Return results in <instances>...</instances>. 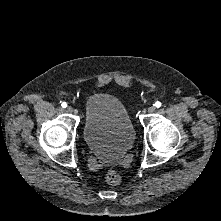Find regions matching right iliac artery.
<instances>
[{
    "label": "right iliac artery",
    "instance_id": "obj_1",
    "mask_svg": "<svg viewBox=\"0 0 221 221\" xmlns=\"http://www.w3.org/2000/svg\"><path fill=\"white\" fill-rule=\"evenodd\" d=\"M61 106H62L63 108H66V107H67V103H66V102H63V103L61 104Z\"/></svg>",
    "mask_w": 221,
    "mask_h": 221
}]
</instances>
